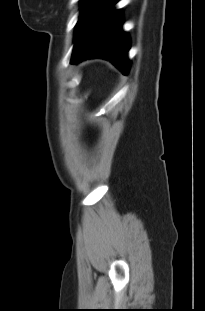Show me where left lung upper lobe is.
Wrapping results in <instances>:
<instances>
[{"label": "left lung upper lobe", "instance_id": "5c2ea615", "mask_svg": "<svg viewBox=\"0 0 205 311\" xmlns=\"http://www.w3.org/2000/svg\"><path fill=\"white\" fill-rule=\"evenodd\" d=\"M119 0H82L81 14L75 29V47H78L114 13Z\"/></svg>", "mask_w": 205, "mask_h": 311}]
</instances>
